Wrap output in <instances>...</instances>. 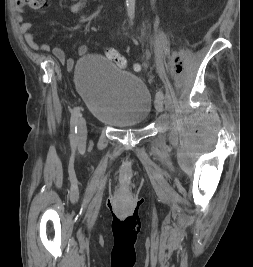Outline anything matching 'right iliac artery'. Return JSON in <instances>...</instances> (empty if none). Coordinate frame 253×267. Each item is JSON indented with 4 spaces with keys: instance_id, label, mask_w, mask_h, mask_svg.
I'll return each instance as SVG.
<instances>
[{
    "instance_id": "82829eb1",
    "label": "right iliac artery",
    "mask_w": 253,
    "mask_h": 267,
    "mask_svg": "<svg viewBox=\"0 0 253 267\" xmlns=\"http://www.w3.org/2000/svg\"><path fill=\"white\" fill-rule=\"evenodd\" d=\"M80 116V107H75L71 112L70 118V143L75 146L78 141L77 123Z\"/></svg>"
}]
</instances>
